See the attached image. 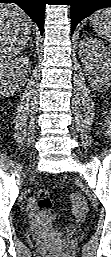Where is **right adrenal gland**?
Returning <instances> with one entry per match:
<instances>
[{
  "label": "right adrenal gland",
  "instance_id": "1",
  "mask_svg": "<svg viewBox=\"0 0 111 257\" xmlns=\"http://www.w3.org/2000/svg\"><path fill=\"white\" fill-rule=\"evenodd\" d=\"M26 47H30L31 49L34 48L32 37L30 38L29 43L26 45Z\"/></svg>",
  "mask_w": 111,
  "mask_h": 257
}]
</instances>
